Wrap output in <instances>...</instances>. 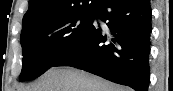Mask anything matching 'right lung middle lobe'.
<instances>
[{
    "label": "right lung middle lobe",
    "mask_w": 173,
    "mask_h": 91,
    "mask_svg": "<svg viewBox=\"0 0 173 91\" xmlns=\"http://www.w3.org/2000/svg\"><path fill=\"white\" fill-rule=\"evenodd\" d=\"M93 13L90 8L23 28L20 81L39 77L77 45L90 28Z\"/></svg>",
    "instance_id": "1"
}]
</instances>
